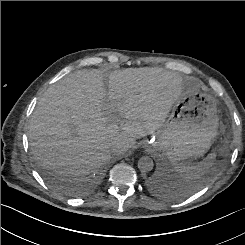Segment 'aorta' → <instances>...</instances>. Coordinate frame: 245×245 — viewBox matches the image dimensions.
Instances as JSON below:
<instances>
[{
  "mask_svg": "<svg viewBox=\"0 0 245 245\" xmlns=\"http://www.w3.org/2000/svg\"><path fill=\"white\" fill-rule=\"evenodd\" d=\"M138 169L142 173H147L151 171L154 167L153 160L148 156H143L138 160Z\"/></svg>",
  "mask_w": 245,
  "mask_h": 245,
  "instance_id": "762f6f07",
  "label": "aorta"
}]
</instances>
